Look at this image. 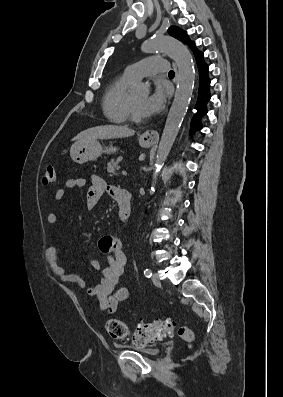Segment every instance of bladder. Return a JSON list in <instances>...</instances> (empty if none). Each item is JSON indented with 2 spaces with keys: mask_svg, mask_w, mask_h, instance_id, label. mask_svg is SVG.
<instances>
[{
  "mask_svg": "<svg viewBox=\"0 0 283 397\" xmlns=\"http://www.w3.org/2000/svg\"><path fill=\"white\" fill-rule=\"evenodd\" d=\"M124 348L139 352L146 356H154L159 351L156 347H153V346L135 345V344L126 345V346H124Z\"/></svg>",
  "mask_w": 283,
  "mask_h": 397,
  "instance_id": "31cf9c89",
  "label": "bladder"
}]
</instances>
